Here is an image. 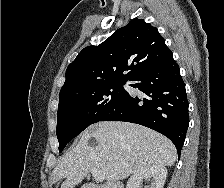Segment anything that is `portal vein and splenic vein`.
Returning a JSON list of instances; mask_svg holds the SVG:
<instances>
[{
    "label": "portal vein and splenic vein",
    "instance_id": "1",
    "mask_svg": "<svg viewBox=\"0 0 224 188\" xmlns=\"http://www.w3.org/2000/svg\"><path fill=\"white\" fill-rule=\"evenodd\" d=\"M90 172L92 173V176L95 178L96 181L102 182L105 179L104 173L96 168H91Z\"/></svg>",
    "mask_w": 224,
    "mask_h": 188
}]
</instances>
